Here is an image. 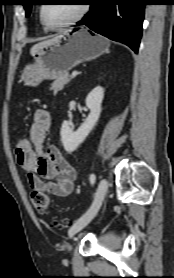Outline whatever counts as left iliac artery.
<instances>
[{
  "label": "left iliac artery",
  "mask_w": 174,
  "mask_h": 278,
  "mask_svg": "<svg viewBox=\"0 0 174 278\" xmlns=\"http://www.w3.org/2000/svg\"><path fill=\"white\" fill-rule=\"evenodd\" d=\"M89 180H90V183L93 185L96 181V176L95 174H91L90 177H89Z\"/></svg>",
  "instance_id": "left-iliac-artery-1"
}]
</instances>
